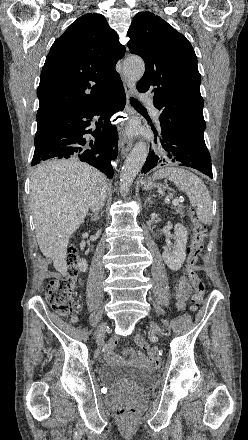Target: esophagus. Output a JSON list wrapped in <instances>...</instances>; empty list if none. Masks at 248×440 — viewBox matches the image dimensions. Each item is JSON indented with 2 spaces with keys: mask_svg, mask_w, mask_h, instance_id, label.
<instances>
[{
  "mask_svg": "<svg viewBox=\"0 0 248 440\" xmlns=\"http://www.w3.org/2000/svg\"><path fill=\"white\" fill-rule=\"evenodd\" d=\"M122 81L127 96L128 97L132 96L135 93V84L129 79H127L123 74H122ZM127 110L129 115L133 114V109L129 104L127 105ZM120 147H121L122 155H126L132 147V140L128 138L125 133H123L122 137L120 138Z\"/></svg>",
  "mask_w": 248,
  "mask_h": 440,
  "instance_id": "34e87169",
  "label": "esophagus"
}]
</instances>
